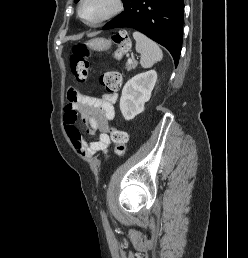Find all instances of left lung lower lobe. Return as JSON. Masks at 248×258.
Here are the masks:
<instances>
[{
    "label": "left lung lower lobe",
    "instance_id": "1",
    "mask_svg": "<svg viewBox=\"0 0 248 258\" xmlns=\"http://www.w3.org/2000/svg\"><path fill=\"white\" fill-rule=\"evenodd\" d=\"M183 0H130L103 30L130 27L164 46L177 66L182 47Z\"/></svg>",
    "mask_w": 248,
    "mask_h": 258
}]
</instances>
